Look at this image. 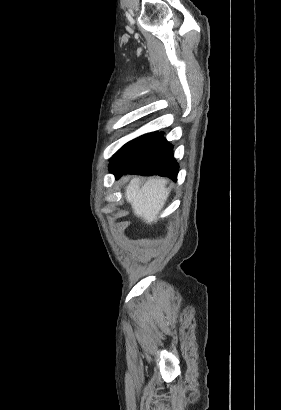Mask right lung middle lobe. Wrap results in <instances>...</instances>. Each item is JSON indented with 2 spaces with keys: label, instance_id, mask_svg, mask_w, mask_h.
Returning <instances> with one entry per match:
<instances>
[{
  "label": "right lung middle lobe",
  "instance_id": "right-lung-middle-lobe-1",
  "mask_svg": "<svg viewBox=\"0 0 281 410\" xmlns=\"http://www.w3.org/2000/svg\"><path fill=\"white\" fill-rule=\"evenodd\" d=\"M148 136V134H145L143 136H140L128 143H126L121 149H119L113 157L110 159L109 163V170L113 171L115 170L118 165L127 157L129 152L136 146L138 145L143 139H145Z\"/></svg>",
  "mask_w": 281,
  "mask_h": 410
}]
</instances>
